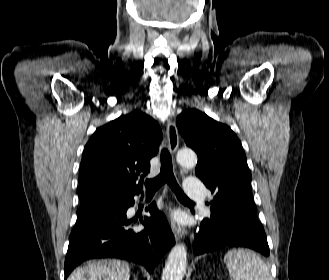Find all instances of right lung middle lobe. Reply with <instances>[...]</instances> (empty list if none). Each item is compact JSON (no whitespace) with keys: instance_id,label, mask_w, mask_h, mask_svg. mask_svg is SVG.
<instances>
[{"instance_id":"right-lung-middle-lobe-1","label":"right lung middle lobe","mask_w":329,"mask_h":280,"mask_svg":"<svg viewBox=\"0 0 329 280\" xmlns=\"http://www.w3.org/2000/svg\"><path fill=\"white\" fill-rule=\"evenodd\" d=\"M100 199L101 198H93V199L81 200V202H80V211L86 209L87 207H89L92 204L96 203Z\"/></svg>"}]
</instances>
